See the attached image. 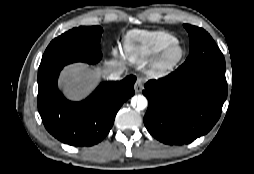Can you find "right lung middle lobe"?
Wrapping results in <instances>:
<instances>
[{
    "mask_svg": "<svg viewBox=\"0 0 254 174\" xmlns=\"http://www.w3.org/2000/svg\"><path fill=\"white\" fill-rule=\"evenodd\" d=\"M100 26L73 28L52 40L38 69V79L72 62L96 63L102 58Z\"/></svg>",
    "mask_w": 254,
    "mask_h": 174,
    "instance_id": "right-lung-middle-lobe-1",
    "label": "right lung middle lobe"
}]
</instances>
